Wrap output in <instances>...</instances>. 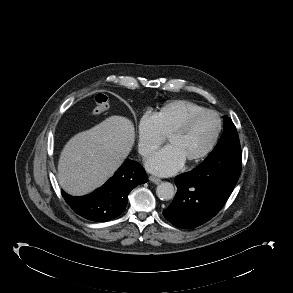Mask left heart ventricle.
<instances>
[{"label":"left heart ventricle","mask_w":293,"mask_h":293,"mask_svg":"<svg viewBox=\"0 0 293 293\" xmlns=\"http://www.w3.org/2000/svg\"><path fill=\"white\" fill-rule=\"evenodd\" d=\"M216 129V118L209 114L203 115L192 124L187 132L167 139V144L173 146L187 162L209 145Z\"/></svg>","instance_id":"b2bd125f"}]
</instances>
